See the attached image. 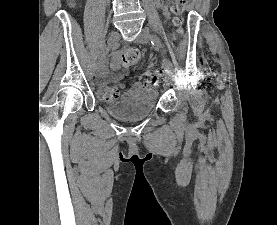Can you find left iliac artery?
<instances>
[{"instance_id":"left-iliac-artery-1","label":"left iliac artery","mask_w":277,"mask_h":225,"mask_svg":"<svg viewBox=\"0 0 277 225\" xmlns=\"http://www.w3.org/2000/svg\"><path fill=\"white\" fill-rule=\"evenodd\" d=\"M150 40H151V44L153 46H155L157 49H162L163 48V45H162V43H161L158 36L152 34L151 37H150ZM162 65H163L165 73L173 74V70L170 68V64L167 60H163Z\"/></svg>"}]
</instances>
